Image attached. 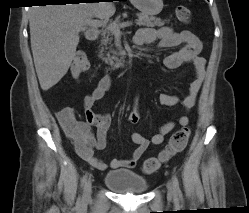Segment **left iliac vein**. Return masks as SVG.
<instances>
[{
	"label": "left iliac vein",
	"mask_w": 249,
	"mask_h": 213,
	"mask_svg": "<svg viewBox=\"0 0 249 213\" xmlns=\"http://www.w3.org/2000/svg\"><path fill=\"white\" fill-rule=\"evenodd\" d=\"M167 189H168V195L171 197L174 196L175 191H174V186L172 182H168Z\"/></svg>",
	"instance_id": "4c4485c4"
}]
</instances>
